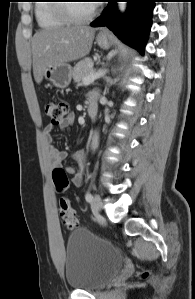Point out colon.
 Listing matches in <instances>:
<instances>
[{"instance_id": "1", "label": "colon", "mask_w": 195, "mask_h": 299, "mask_svg": "<svg viewBox=\"0 0 195 299\" xmlns=\"http://www.w3.org/2000/svg\"><path fill=\"white\" fill-rule=\"evenodd\" d=\"M68 106L64 101L49 102L45 106V114L50 118L52 124H59L65 117ZM54 187L57 193H63L69 184L66 172L61 167H55L52 171ZM59 212L65 226L68 229H76L79 227V221L76 217L74 209L65 197L59 199ZM143 276H147V272H143Z\"/></svg>"}]
</instances>
